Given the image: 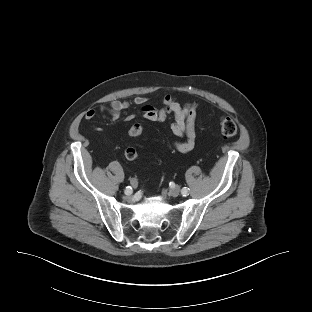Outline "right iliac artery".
<instances>
[{"label":"right iliac artery","instance_id":"82829eb1","mask_svg":"<svg viewBox=\"0 0 312 312\" xmlns=\"http://www.w3.org/2000/svg\"><path fill=\"white\" fill-rule=\"evenodd\" d=\"M132 193V187L131 186H127L125 189V194H131Z\"/></svg>","mask_w":312,"mask_h":312}]
</instances>
